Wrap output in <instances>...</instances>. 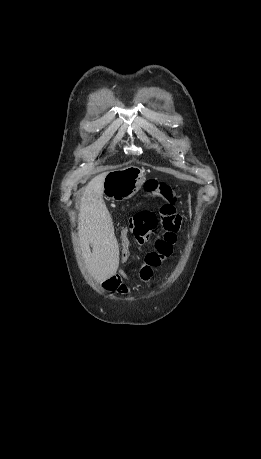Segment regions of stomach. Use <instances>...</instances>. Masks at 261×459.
<instances>
[{"label": "stomach", "instance_id": "0dacf381", "mask_svg": "<svg viewBox=\"0 0 261 459\" xmlns=\"http://www.w3.org/2000/svg\"><path fill=\"white\" fill-rule=\"evenodd\" d=\"M145 176L136 167H126L109 172L104 181L103 194L115 201H124L134 196L142 187Z\"/></svg>", "mask_w": 261, "mask_h": 459}]
</instances>
